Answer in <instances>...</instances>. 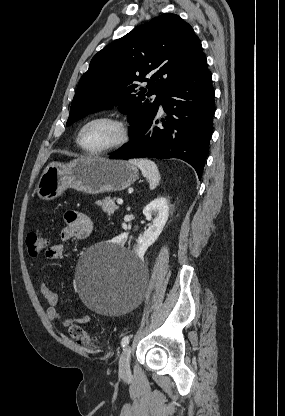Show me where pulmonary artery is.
I'll list each match as a JSON object with an SVG mask.
<instances>
[{"mask_svg":"<svg viewBox=\"0 0 285 416\" xmlns=\"http://www.w3.org/2000/svg\"><path fill=\"white\" fill-rule=\"evenodd\" d=\"M157 96V94H154V96L153 97H156ZM160 111H162V106L160 107Z\"/></svg>","mask_w":285,"mask_h":416,"instance_id":"pulmonary-artery-1","label":"pulmonary artery"}]
</instances>
